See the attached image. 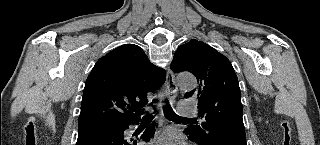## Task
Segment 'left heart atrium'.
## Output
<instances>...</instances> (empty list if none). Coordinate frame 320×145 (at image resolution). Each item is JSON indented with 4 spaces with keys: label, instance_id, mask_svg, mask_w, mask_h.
Here are the masks:
<instances>
[{
    "label": "left heart atrium",
    "instance_id": "obj_1",
    "mask_svg": "<svg viewBox=\"0 0 320 145\" xmlns=\"http://www.w3.org/2000/svg\"><path fill=\"white\" fill-rule=\"evenodd\" d=\"M157 145H181V137L175 131H167L156 139Z\"/></svg>",
    "mask_w": 320,
    "mask_h": 145
}]
</instances>
